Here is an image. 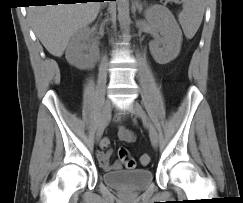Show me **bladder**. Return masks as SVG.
I'll use <instances>...</instances> for the list:
<instances>
[{"label":"bladder","instance_id":"1","mask_svg":"<svg viewBox=\"0 0 243 203\" xmlns=\"http://www.w3.org/2000/svg\"><path fill=\"white\" fill-rule=\"evenodd\" d=\"M105 184L124 192H139L153 181L151 169L109 171L102 174Z\"/></svg>","mask_w":243,"mask_h":203}]
</instances>
